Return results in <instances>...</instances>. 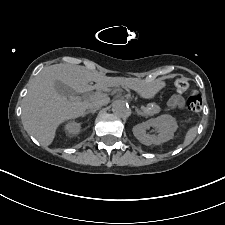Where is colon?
Masks as SVG:
<instances>
[{
	"mask_svg": "<svg viewBox=\"0 0 225 225\" xmlns=\"http://www.w3.org/2000/svg\"><path fill=\"white\" fill-rule=\"evenodd\" d=\"M174 88L177 92L184 93L190 88V84L186 78L179 77L174 81ZM187 105L192 112L198 113L202 110L203 98L197 90L190 92Z\"/></svg>",
	"mask_w": 225,
	"mask_h": 225,
	"instance_id": "5ec220e1",
	"label": "colon"
}]
</instances>
